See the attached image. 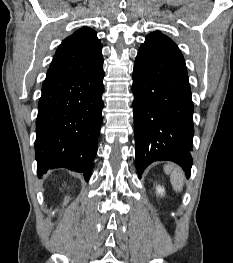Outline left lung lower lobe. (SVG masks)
<instances>
[{
  "label": "left lung lower lobe",
  "mask_w": 233,
  "mask_h": 263,
  "mask_svg": "<svg viewBox=\"0 0 233 263\" xmlns=\"http://www.w3.org/2000/svg\"><path fill=\"white\" fill-rule=\"evenodd\" d=\"M132 91L139 176L152 162L170 160L188 178L194 109L185 60L173 41L145 40L135 60Z\"/></svg>",
  "instance_id": "left-lung-lower-lobe-1"
}]
</instances>
